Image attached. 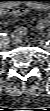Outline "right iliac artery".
<instances>
[{"mask_svg":"<svg viewBox=\"0 0 50 111\" xmlns=\"http://www.w3.org/2000/svg\"><path fill=\"white\" fill-rule=\"evenodd\" d=\"M0 36H1V37H5L6 34H5V33H0Z\"/></svg>","mask_w":50,"mask_h":111,"instance_id":"obj_1","label":"right iliac artery"}]
</instances>
